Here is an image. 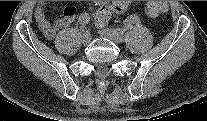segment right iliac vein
Returning <instances> with one entry per match:
<instances>
[{
  "label": "right iliac vein",
  "mask_w": 207,
  "mask_h": 121,
  "mask_svg": "<svg viewBox=\"0 0 207 121\" xmlns=\"http://www.w3.org/2000/svg\"><path fill=\"white\" fill-rule=\"evenodd\" d=\"M90 41H91V35H90V33L89 32H85L83 34V36H82V42H83V44L87 45V44L90 43Z\"/></svg>",
  "instance_id": "right-iliac-vein-1"
}]
</instances>
